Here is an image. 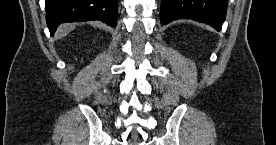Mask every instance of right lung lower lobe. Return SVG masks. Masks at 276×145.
<instances>
[{"instance_id": "98d812e1", "label": "right lung lower lobe", "mask_w": 276, "mask_h": 145, "mask_svg": "<svg viewBox=\"0 0 276 145\" xmlns=\"http://www.w3.org/2000/svg\"><path fill=\"white\" fill-rule=\"evenodd\" d=\"M46 21L51 35L65 22L99 20L117 24V0H45Z\"/></svg>"}]
</instances>
